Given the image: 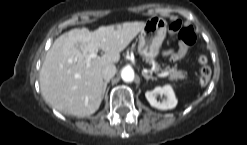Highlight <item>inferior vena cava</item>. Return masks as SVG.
<instances>
[{
    "label": "inferior vena cava",
    "instance_id": "602c4592",
    "mask_svg": "<svg viewBox=\"0 0 247 145\" xmlns=\"http://www.w3.org/2000/svg\"><path fill=\"white\" fill-rule=\"evenodd\" d=\"M116 74V67L113 64H108L102 69V77L105 81L110 80Z\"/></svg>",
    "mask_w": 247,
    "mask_h": 145
}]
</instances>
